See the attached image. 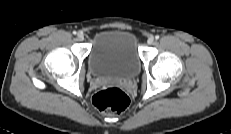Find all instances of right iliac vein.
I'll return each mask as SVG.
<instances>
[{
  "label": "right iliac vein",
  "instance_id": "63e3f726",
  "mask_svg": "<svg viewBox=\"0 0 231 134\" xmlns=\"http://www.w3.org/2000/svg\"><path fill=\"white\" fill-rule=\"evenodd\" d=\"M77 39H78L79 41H83V40H84V35H83V33L79 32V33L77 34Z\"/></svg>",
  "mask_w": 231,
  "mask_h": 134
}]
</instances>
